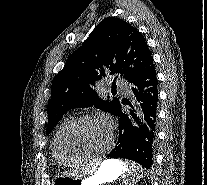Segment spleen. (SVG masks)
Listing matches in <instances>:
<instances>
[{
    "mask_svg": "<svg viewBox=\"0 0 207 185\" xmlns=\"http://www.w3.org/2000/svg\"><path fill=\"white\" fill-rule=\"evenodd\" d=\"M125 171H129L127 174H123L122 183H135L137 177H147L146 167L139 166V162H131V158H122Z\"/></svg>",
    "mask_w": 207,
    "mask_h": 185,
    "instance_id": "obj_1",
    "label": "spleen"
}]
</instances>
